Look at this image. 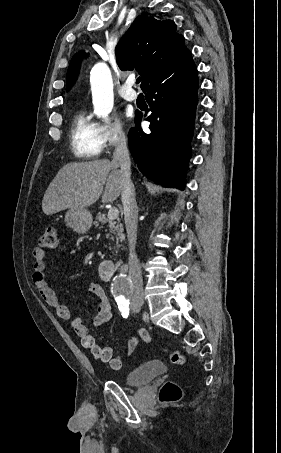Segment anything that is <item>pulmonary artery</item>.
Listing matches in <instances>:
<instances>
[{
  "label": "pulmonary artery",
  "mask_w": 281,
  "mask_h": 453,
  "mask_svg": "<svg viewBox=\"0 0 281 453\" xmlns=\"http://www.w3.org/2000/svg\"><path fill=\"white\" fill-rule=\"evenodd\" d=\"M132 82L133 78H129L124 85L118 87L117 89L119 95L129 101L136 100L138 97L137 92L133 88H131Z\"/></svg>",
  "instance_id": "pulmonary-artery-1"
}]
</instances>
